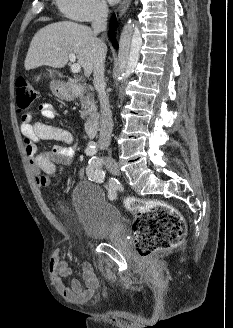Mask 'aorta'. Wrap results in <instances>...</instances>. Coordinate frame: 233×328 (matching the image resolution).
<instances>
[{
    "instance_id": "762f6f07",
    "label": "aorta",
    "mask_w": 233,
    "mask_h": 328,
    "mask_svg": "<svg viewBox=\"0 0 233 328\" xmlns=\"http://www.w3.org/2000/svg\"><path fill=\"white\" fill-rule=\"evenodd\" d=\"M142 38L138 27L128 22L121 33L118 51L119 73L125 78L133 72L139 60Z\"/></svg>"
}]
</instances>
